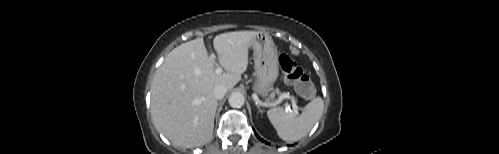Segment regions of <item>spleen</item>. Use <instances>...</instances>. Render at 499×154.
Instances as JSON below:
<instances>
[{"label": "spleen", "mask_w": 499, "mask_h": 154, "mask_svg": "<svg viewBox=\"0 0 499 154\" xmlns=\"http://www.w3.org/2000/svg\"><path fill=\"white\" fill-rule=\"evenodd\" d=\"M324 102L316 97L309 102L299 116L288 113L282 107L267 111V116L277 135L284 141L291 143L306 136L323 113Z\"/></svg>", "instance_id": "1"}]
</instances>
